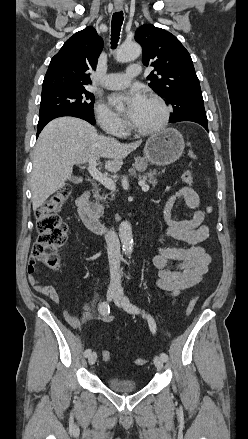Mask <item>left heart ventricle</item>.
Wrapping results in <instances>:
<instances>
[{"instance_id": "b2bd125f", "label": "left heart ventricle", "mask_w": 248, "mask_h": 439, "mask_svg": "<svg viewBox=\"0 0 248 439\" xmlns=\"http://www.w3.org/2000/svg\"><path fill=\"white\" fill-rule=\"evenodd\" d=\"M163 112L158 104L146 99L144 105L132 122L140 128H150L158 124Z\"/></svg>"}]
</instances>
